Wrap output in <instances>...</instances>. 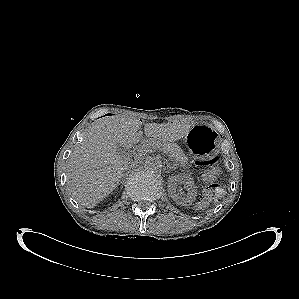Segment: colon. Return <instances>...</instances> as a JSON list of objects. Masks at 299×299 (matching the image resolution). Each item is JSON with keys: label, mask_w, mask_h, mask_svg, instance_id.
Wrapping results in <instances>:
<instances>
[{"label": "colon", "mask_w": 299, "mask_h": 299, "mask_svg": "<svg viewBox=\"0 0 299 299\" xmlns=\"http://www.w3.org/2000/svg\"><path fill=\"white\" fill-rule=\"evenodd\" d=\"M217 163V157L209 161L198 163L199 165L206 167L204 179L209 182V184L204 189V198L208 201L212 200L219 192L218 184L213 182L219 174V167L217 166Z\"/></svg>", "instance_id": "obj_1"}]
</instances>
